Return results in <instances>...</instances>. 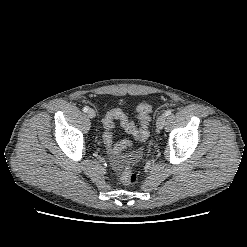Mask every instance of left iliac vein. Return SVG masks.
<instances>
[{
	"label": "left iliac vein",
	"mask_w": 247,
	"mask_h": 247,
	"mask_svg": "<svg viewBox=\"0 0 247 247\" xmlns=\"http://www.w3.org/2000/svg\"><path fill=\"white\" fill-rule=\"evenodd\" d=\"M165 121H166V116L165 115H161L158 117L157 122H156V127L158 129H162L165 125Z\"/></svg>",
	"instance_id": "left-iliac-vein-1"
}]
</instances>
